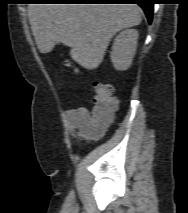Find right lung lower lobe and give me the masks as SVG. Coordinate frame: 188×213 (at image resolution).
I'll return each instance as SVG.
<instances>
[{"label":"right lung lower lobe","mask_w":188,"mask_h":213,"mask_svg":"<svg viewBox=\"0 0 188 213\" xmlns=\"http://www.w3.org/2000/svg\"><path fill=\"white\" fill-rule=\"evenodd\" d=\"M155 0H70L74 3H136L145 12L148 22H152L153 6Z\"/></svg>","instance_id":"98d812e1"}]
</instances>
